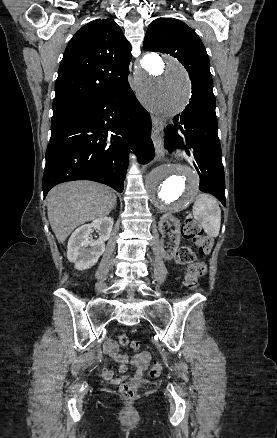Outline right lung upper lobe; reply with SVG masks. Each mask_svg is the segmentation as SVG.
I'll list each match as a JSON object with an SVG mask.
<instances>
[{"label":"right lung upper lobe","mask_w":277,"mask_h":438,"mask_svg":"<svg viewBox=\"0 0 277 438\" xmlns=\"http://www.w3.org/2000/svg\"><path fill=\"white\" fill-rule=\"evenodd\" d=\"M131 45L112 19L94 20L69 41L55 84L53 111H70L79 103L127 80ZM80 64L92 71L70 68Z\"/></svg>","instance_id":"right-lung-upper-lobe-1"}]
</instances>
